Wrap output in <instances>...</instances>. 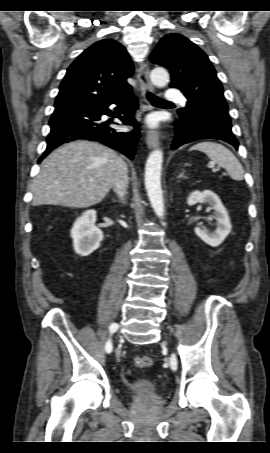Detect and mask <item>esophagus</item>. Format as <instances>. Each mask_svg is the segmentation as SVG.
Returning <instances> with one entry per match:
<instances>
[{
    "mask_svg": "<svg viewBox=\"0 0 270 453\" xmlns=\"http://www.w3.org/2000/svg\"><path fill=\"white\" fill-rule=\"evenodd\" d=\"M138 82L141 88L143 95L146 90L153 91V85L149 79V67L146 63L141 64L137 72ZM146 144L148 148L153 149L159 145L158 134L149 130L146 136Z\"/></svg>",
    "mask_w": 270,
    "mask_h": 453,
    "instance_id": "34e87169",
    "label": "esophagus"
}]
</instances>
